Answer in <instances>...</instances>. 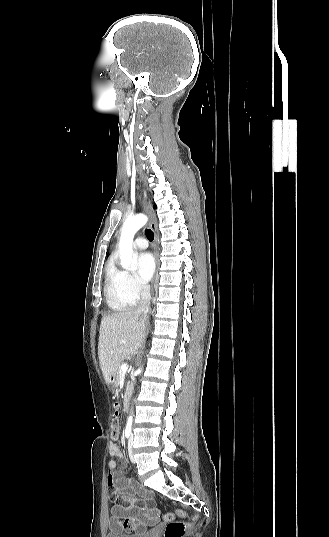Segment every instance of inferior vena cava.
<instances>
[{
    "instance_id": "1",
    "label": "inferior vena cava",
    "mask_w": 329,
    "mask_h": 537,
    "mask_svg": "<svg viewBox=\"0 0 329 537\" xmlns=\"http://www.w3.org/2000/svg\"><path fill=\"white\" fill-rule=\"evenodd\" d=\"M150 286L149 285H143L142 286V292H141V301L139 304V307L137 309V312L140 314H143L146 316L149 310L150 306Z\"/></svg>"
}]
</instances>
